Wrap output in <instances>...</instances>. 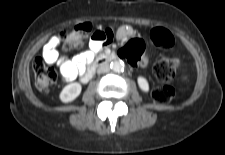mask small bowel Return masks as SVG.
<instances>
[{"label": "small bowel", "instance_id": "1", "mask_svg": "<svg viewBox=\"0 0 225 155\" xmlns=\"http://www.w3.org/2000/svg\"><path fill=\"white\" fill-rule=\"evenodd\" d=\"M129 34L130 30L127 28H122L120 31L122 37H126ZM111 36L110 31L95 32L89 41L90 50L78 54L71 59L60 55L58 51L59 39L57 37H52L44 45L42 56L47 63L58 65L63 78L67 81H71L75 79L78 74L84 72L85 66L92 61L94 54L110 40ZM147 63V57L143 56L139 65L145 66Z\"/></svg>", "mask_w": 225, "mask_h": 155}]
</instances>
